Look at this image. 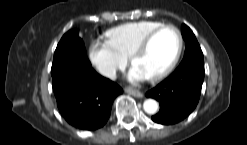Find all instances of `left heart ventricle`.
Returning a JSON list of instances; mask_svg holds the SVG:
<instances>
[{
	"mask_svg": "<svg viewBox=\"0 0 247 145\" xmlns=\"http://www.w3.org/2000/svg\"><path fill=\"white\" fill-rule=\"evenodd\" d=\"M177 45L176 33L172 29L162 30L153 38L147 50L136 57L133 65L149 78L171 62Z\"/></svg>",
	"mask_w": 247,
	"mask_h": 145,
	"instance_id": "obj_1",
	"label": "left heart ventricle"
}]
</instances>
